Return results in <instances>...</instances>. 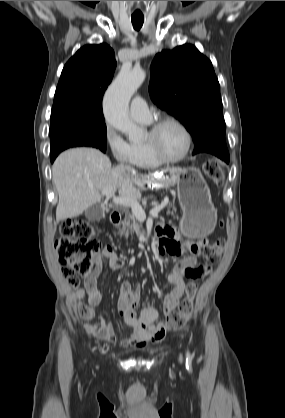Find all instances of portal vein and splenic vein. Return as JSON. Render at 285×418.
I'll return each mask as SVG.
<instances>
[{
	"instance_id": "portal-vein-and-splenic-vein-1",
	"label": "portal vein and splenic vein",
	"mask_w": 285,
	"mask_h": 418,
	"mask_svg": "<svg viewBox=\"0 0 285 418\" xmlns=\"http://www.w3.org/2000/svg\"><path fill=\"white\" fill-rule=\"evenodd\" d=\"M116 189L109 190V191H102V195L109 197L115 195ZM113 202L116 205H121L124 207H130L132 209V213L139 221H144L146 219V213L141 207V205L137 202V200L125 198V197H113ZM168 200H164L159 205L155 206L153 209L150 210V216L157 217L158 213L167 205Z\"/></svg>"
}]
</instances>
